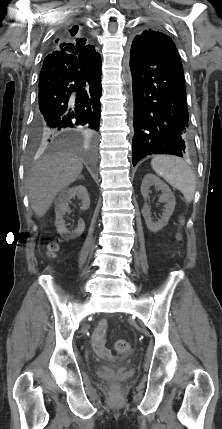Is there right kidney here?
<instances>
[{
    "mask_svg": "<svg viewBox=\"0 0 222 429\" xmlns=\"http://www.w3.org/2000/svg\"><path fill=\"white\" fill-rule=\"evenodd\" d=\"M78 197L80 200H82L81 203V210H87L90 206V199L87 192V189L83 185L74 186L72 188H68L65 190H62L56 199V220H55V226L57 227L58 233L64 235L70 233L68 229L66 228L64 215L66 212H69V202L71 199ZM85 229V223L82 219L78 221L77 228L70 233L71 238H76L80 236Z\"/></svg>",
    "mask_w": 222,
    "mask_h": 429,
    "instance_id": "obj_1",
    "label": "right kidney"
}]
</instances>
